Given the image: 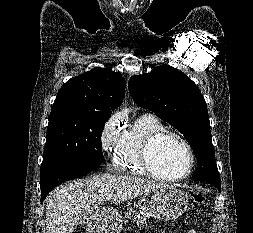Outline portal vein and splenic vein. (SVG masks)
Wrapping results in <instances>:
<instances>
[{"instance_id": "1", "label": "portal vein and splenic vein", "mask_w": 253, "mask_h": 233, "mask_svg": "<svg viewBox=\"0 0 253 233\" xmlns=\"http://www.w3.org/2000/svg\"><path fill=\"white\" fill-rule=\"evenodd\" d=\"M112 197H113L112 195H107V196H106V200H111Z\"/></svg>"}]
</instances>
